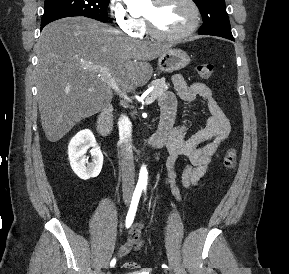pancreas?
<instances>
[{
	"label": "pancreas",
	"mask_w": 289,
	"mask_h": 274,
	"mask_svg": "<svg viewBox=\"0 0 289 274\" xmlns=\"http://www.w3.org/2000/svg\"><path fill=\"white\" fill-rule=\"evenodd\" d=\"M150 86H154L150 96H153L155 99L161 97L169 88L165 82V78L153 80Z\"/></svg>",
	"instance_id": "1"
}]
</instances>
